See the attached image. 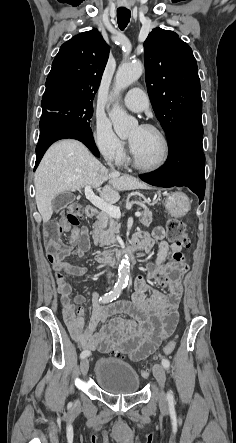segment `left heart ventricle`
Instances as JSON below:
<instances>
[{
	"label": "left heart ventricle",
	"instance_id": "obj_1",
	"mask_svg": "<svg viewBox=\"0 0 236 443\" xmlns=\"http://www.w3.org/2000/svg\"><path fill=\"white\" fill-rule=\"evenodd\" d=\"M129 139L140 162L154 165L162 158L163 144L155 132L143 127H135L130 132Z\"/></svg>",
	"mask_w": 236,
	"mask_h": 443
}]
</instances>
